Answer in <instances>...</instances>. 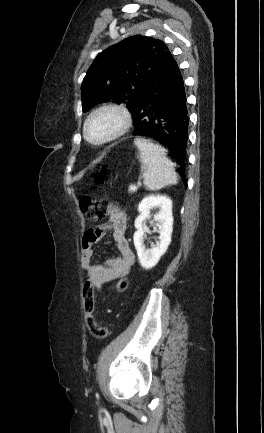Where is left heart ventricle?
Wrapping results in <instances>:
<instances>
[{"mask_svg":"<svg viewBox=\"0 0 264 433\" xmlns=\"http://www.w3.org/2000/svg\"><path fill=\"white\" fill-rule=\"evenodd\" d=\"M118 122L117 115L113 113L101 114L89 124L88 133L92 138H100L114 130Z\"/></svg>","mask_w":264,"mask_h":433,"instance_id":"left-heart-ventricle-1","label":"left heart ventricle"}]
</instances>
